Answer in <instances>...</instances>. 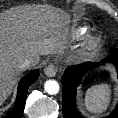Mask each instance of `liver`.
Instances as JSON below:
<instances>
[{
	"instance_id": "liver-1",
	"label": "liver",
	"mask_w": 118,
	"mask_h": 118,
	"mask_svg": "<svg viewBox=\"0 0 118 118\" xmlns=\"http://www.w3.org/2000/svg\"><path fill=\"white\" fill-rule=\"evenodd\" d=\"M69 15L45 5H24L0 15V106L11 94L26 58L60 53Z\"/></svg>"
}]
</instances>
